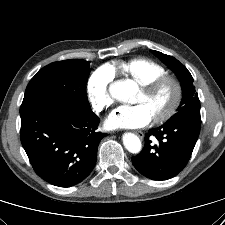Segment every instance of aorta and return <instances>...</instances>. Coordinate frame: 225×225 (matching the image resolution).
Returning <instances> with one entry per match:
<instances>
[{
    "label": "aorta",
    "instance_id": "1",
    "mask_svg": "<svg viewBox=\"0 0 225 225\" xmlns=\"http://www.w3.org/2000/svg\"><path fill=\"white\" fill-rule=\"evenodd\" d=\"M136 90L137 85L132 80H119L110 87L111 94L122 102H130ZM123 144L130 153L137 154L141 151V141L133 133H125L123 135Z\"/></svg>",
    "mask_w": 225,
    "mask_h": 225
}]
</instances>
